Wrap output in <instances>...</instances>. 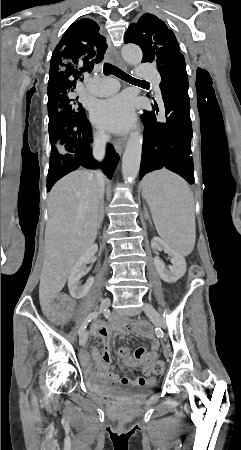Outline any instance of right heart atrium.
<instances>
[{"mask_svg": "<svg viewBox=\"0 0 241 450\" xmlns=\"http://www.w3.org/2000/svg\"><path fill=\"white\" fill-rule=\"evenodd\" d=\"M94 139H95L96 144L101 145L105 142L106 137L103 133L94 131ZM96 152L99 155H108L110 153V148L108 146H99L96 149Z\"/></svg>", "mask_w": 241, "mask_h": 450, "instance_id": "obj_1", "label": "right heart atrium"}]
</instances>
